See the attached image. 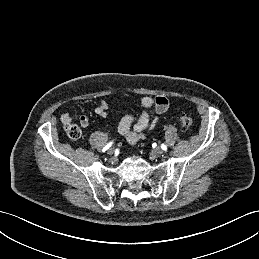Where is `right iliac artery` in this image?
Instances as JSON below:
<instances>
[{
	"label": "right iliac artery",
	"mask_w": 259,
	"mask_h": 259,
	"mask_svg": "<svg viewBox=\"0 0 259 259\" xmlns=\"http://www.w3.org/2000/svg\"><path fill=\"white\" fill-rule=\"evenodd\" d=\"M112 145V143H108L104 148H103V151H106L107 149H109V147Z\"/></svg>",
	"instance_id": "1"
}]
</instances>
